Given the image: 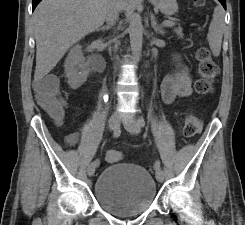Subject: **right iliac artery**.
Masks as SVG:
<instances>
[{
    "label": "right iliac artery",
    "instance_id": "82829eb1",
    "mask_svg": "<svg viewBox=\"0 0 245 225\" xmlns=\"http://www.w3.org/2000/svg\"><path fill=\"white\" fill-rule=\"evenodd\" d=\"M105 100H106V98H105ZM120 134H121V130H120V128L118 127V128H116V129L114 130L113 137H114V138H117V137L120 136ZM93 163H94L95 166H99V165H100V160H99V159H96Z\"/></svg>",
    "mask_w": 245,
    "mask_h": 225
}]
</instances>
